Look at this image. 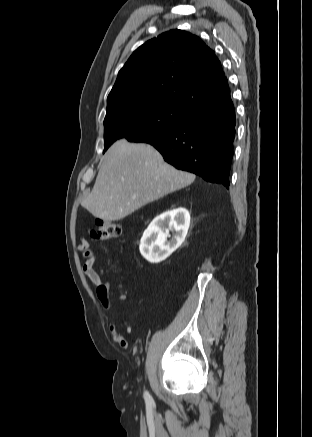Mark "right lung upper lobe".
<instances>
[{
	"label": "right lung upper lobe",
	"mask_w": 312,
	"mask_h": 437,
	"mask_svg": "<svg viewBox=\"0 0 312 437\" xmlns=\"http://www.w3.org/2000/svg\"><path fill=\"white\" fill-rule=\"evenodd\" d=\"M228 89L220 61L197 36L171 30L130 56L107 98V113L131 103L162 102L192 111Z\"/></svg>",
	"instance_id": "1"
}]
</instances>
